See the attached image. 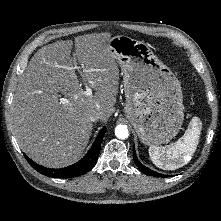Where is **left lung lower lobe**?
I'll return each instance as SVG.
<instances>
[{
    "label": "left lung lower lobe",
    "mask_w": 221,
    "mask_h": 221,
    "mask_svg": "<svg viewBox=\"0 0 221 221\" xmlns=\"http://www.w3.org/2000/svg\"><path fill=\"white\" fill-rule=\"evenodd\" d=\"M133 156H134V161H135L136 165L138 166V168H139L144 174H146V175H148V176L166 177V175L157 173V172H155V171H153V170H150L149 168L145 167L144 165H142V164L139 162V160L137 159L134 149H133Z\"/></svg>",
    "instance_id": "left-lung-lower-lobe-1"
}]
</instances>
